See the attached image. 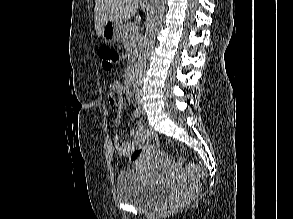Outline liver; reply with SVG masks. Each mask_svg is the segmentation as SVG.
<instances>
[{
    "label": "liver",
    "mask_w": 293,
    "mask_h": 219,
    "mask_svg": "<svg viewBox=\"0 0 293 219\" xmlns=\"http://www.w3.org/2000/svg\"><path fill=\"white\" fill-rule=\"evenodd\" d=\"M139 0H96L95 1V29L101 37L102 29L108 21L129 20L135 16ZM137 22L140 17L136 18Z\"/></svg>",
    "instance_id": "1"
}]
</instances>
